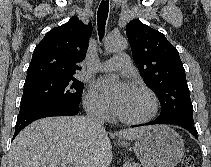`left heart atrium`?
Instances as JSON below:
<instances>
[{
  "mask_svg": "<svg viewBox=\"0 0 211 167\" xmlns=\"http://www.w3.org/2000/svg\"><path fill=\"white\" fill-rule=\"evenodd\" d=\"M94 92L105 101L107 106L119 114L131 92V87L115 77H100L93 83Z\"/></svg>",
  "mask_w": 211,
  "mask_h": 167,
  "instance_id": "left-heart-atrium-1",
  "label": "left heart atrium"
}]
</instances>
